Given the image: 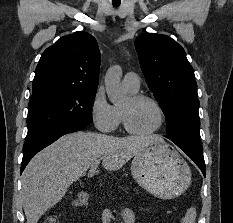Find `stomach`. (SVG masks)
Segmentation results:
<instances>
[{"label":"stomach","mask_w":233,"mask_h":223,"mask_svg":"<svg viewBox=\"0 0 233 223\" xmlns=\"http://www.w3.org/2000/svg\"><path fill=\"white\" fill-rule=\"evenodd\" d=\"M131 173L145 189L160 199H173L191 183V169L178 151L165 141H152L134 155Z\"/></svg>","instance_id":"0dacf381"}]
</instances>
